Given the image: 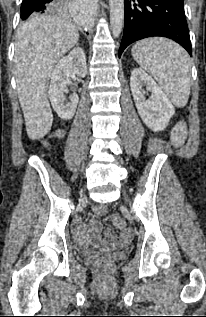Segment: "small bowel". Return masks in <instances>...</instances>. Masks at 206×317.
I'll list each match as a JSON object with an SVG mask.
<instances>
[{"label": "small bowel", "mask_w": 206, "mask_h": 317, "mask_svg": "<svg viewBox=\"0 0 206 317\" xmlns=\"http://www.w3.org/2000/svg\"><path fill=\"white\" fill-rule=\"evenodd\" d=\"M101 227L99 223L92 222L89 226L78 222L74 228V234L77 240L81 243L86 242L90 237L100 234ZM131 237V232L129 230H124L122 232L121 239L122 241H128Z\"/></svg>", "instance_id": "1"}]
</instances>
